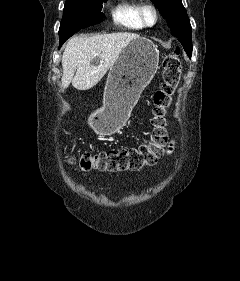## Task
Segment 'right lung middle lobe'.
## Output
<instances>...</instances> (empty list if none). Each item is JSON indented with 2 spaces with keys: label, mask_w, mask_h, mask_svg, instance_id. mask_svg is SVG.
Segmentation results:
<instances>
[{
  "label": "right lung middle lobe",
  "mask_w": 240,
  "mask_h": 281,
  "mask_svg": "<svg viewBox=\"0 0 240 281\" xmlns=\"http://www.w3.org/2000/svg\"><path fill=\"white\" fill-rule=\"evenodd\" d=\"M107 0H66L59 29L60 46L82 28L102 21V3Z\"/></svg>",
  "instance_id": "obj_1"
}]
</instances>
